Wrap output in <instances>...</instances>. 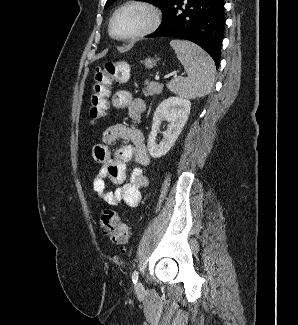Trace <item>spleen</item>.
Masks as SVG:
<instances>
[{"label":"spleen","mask_w":298,"mask_h":325,"mask_svg":"<svg viewBox=\"0 0 298 325\" xmlns=\"http://www.w3.org/2000/svg\"><path fill=\"white\" fill-rule=\"evenodd\" d=\"M170 46L183 64L188 76H177L169 80L166 86L179 94L181 98H201L212 90L215 80V64L213 58L190 40H170Z\"/></svg>","instance_id":"spleen-1"}]
</instances>
